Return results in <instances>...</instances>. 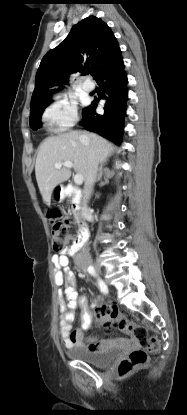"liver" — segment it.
I'll return each mask as SVG.
<instances>
[{"label":"liver","mask_w":187,"mask_h":415,"mask_svg":"<svg viewBox=\"0 0 187 415\" xmlns=\"http://www.w3.org/2000/svg\"><path fill=\"white\" fill-rule=\"evenodd\" d=\"M82 137L87 140L98 162H105L111 155L113 144L95 133L70 131L45 139L37 154L35 175L43 201L47 205H50L53 189L71 176L70 168L62 166L56 169L55 163L71 161L74 170L86 180L88 149Z\"/></svg>","instance_id":"obj_1"}]
</instances>
